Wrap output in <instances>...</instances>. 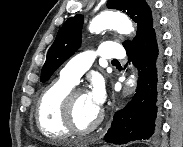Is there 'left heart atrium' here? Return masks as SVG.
Returning a JSON list of instances; mask_svg holds the SVG:
<instances>
[{
	"label": "left heart atrium",
	"mask_w": 183,
	"mask_h": 147,
	"mask_svg": "<svg viewBox=\"0 0 183 147\" xmlns=\"http://www.w3.org/2000/svg\"><path fill=\"white\" fill-rule=\"evenodd\" d=\"M92 102L100 109L105 99L104 84L100 80L93 83L91 91L88 93Z\"/></svg>",
	"instance_id": "left-heart-atrium-1"
}]
</instances>
